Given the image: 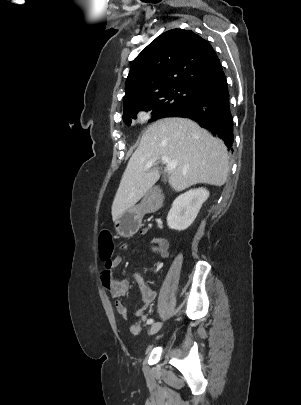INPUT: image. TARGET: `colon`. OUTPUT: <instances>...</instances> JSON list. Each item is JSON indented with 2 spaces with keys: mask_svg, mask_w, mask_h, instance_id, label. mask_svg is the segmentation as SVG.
I'll return each instance as SVG.
<instances>
[{
  "mask_svg": "<svg viewBox=\"0 0 301 405\" xmlns=\"http://www.w3.org/2000/svg\"><path fill=\"white\" fill-rule=\"evenodd\" d=\"M98 248L101 259L109 264L113 255V242L109 231L103 230L98 238Z\"/></svg>",
  "mask_w": 301,
  "mask_h": 405,
  "instance_id": "obj_1",
  "label": "colon"
}]
</instances>
